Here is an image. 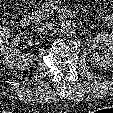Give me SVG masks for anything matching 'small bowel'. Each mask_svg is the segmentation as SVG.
Masks as SVG:
<instances>
[{"instance_id": "c3829d8e", "label": "small bowel", "mask_w": 113, "mask_h": 113, "mask_svg": "<svg viewBox=\"0 0 113 113\" xmlns=\"http://www.w3.org/2000/svg\"><path fill=\"white\" fill-rule=\"evenodd\" d=\"M110 2L113 5V0H110ZM103 20L113 31V13L105 15Z\"/></svg>"}]
</instances>
